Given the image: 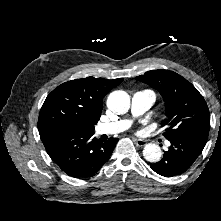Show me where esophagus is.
Wrapping results in <instances>:
<instances>
[{
	"label": "esophagus",
	"instance_id": "1",
	"mask_svg": "<svg viewBox=\"0 0 221 221\" xmlns=\"http://www.w3.org/2000/svg\"><path fill=\"white\" fill-rule=\"evenodd\" d=\"M133 142L139 147H143L146 145V141L143 139L133 138Z\"/></svg>",
	"mask_w": 221,
	"mask_h": 221
}]
</instances>
